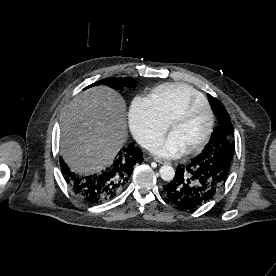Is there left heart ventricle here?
Returning a JSON list of instances; mask_svg holds the SVG:
<instances>
[{"instance_id": "obj_1", "label": "left heart ventricle", "mask_w": 276, "mask_h": 276, "mask_svg": "<svg viewBox=\"0 0 276 276\" xmlns=\"http://www.w3.org/2000/svg\"><path fill=\"white\" fill-rule=\"evenodd\" d=\"M208 121V112L200 105L190 116L176 123L172 130L181 138L186 148H189L204 136Z\"/></svg>"}]
</instances>
